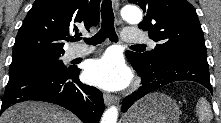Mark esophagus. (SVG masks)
Segmentation results:
<instances>
[{"mask_svg":"<svg viewBox=\"0 0 221 123\" xmlns=\"http://www.w3.org/2000/svg\"><path fill=\"white\" fill-rule=\"evenodd\" d=\"M114 8L117 10L119 8V2L117 0H113ZM122 22L120 19L117 20V24L120 25ZM104 102L106 105H110L115 102L114 96L109 93H104Z\"/></svg>","mask_w":221,"mask_h":123,"instance_id":"1","label":"esophagus"}]
</instances>
